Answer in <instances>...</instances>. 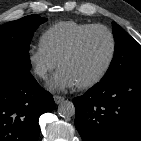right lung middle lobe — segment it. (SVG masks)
<instances>
[{"instance_id": "obj_1", "label": "right lung middle lobe", "mask_w": 141, "mask_h": 141, "mask_svg": "<svg viewBox=\"0 0 141 141\" xmlns=\"http://www.w3.org/2000/svg\"><path fill=\"white\" fill-rule=\"evenodd\" d=\"M47 19L29 15L0 26V73L30 71L29 45Z\"/></svg>"}]
</instances>
